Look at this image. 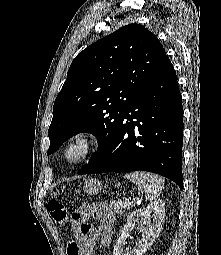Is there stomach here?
Here are the masks:
<instances>
[{
  "mask_svg": "<svg viewBox=\"0 0 221 255\" xmlns=\"http://www.w3.org/2000/svg\"><path fill=\"white\" fill-rule=\"evenodd\" d=\"M119 186H120V183L116 182L115 187L118 188ZM84 190L87 194L96 195L102 192L103 184L98 179L90 178L85 181Z\"/></svg>",
  "mask_w": 221,
  "mask_h": 255,
  "instance_id": "0dacf381",
  "label": "stomach"
}]
</instances>
